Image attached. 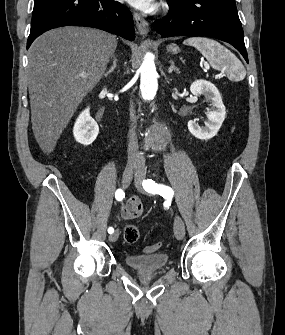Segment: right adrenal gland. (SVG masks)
Wrapping results in <instances>:
<instances>
[{
	"mask_svg": "<svg viewBox=\"0 0 285 335\" xmlns=\"http://www.w3.org/2000/svg\"><path fill=\"white\" fill-rule=\"evenodd\" d=\"M115 68H117V60H116V58H113V64H112L111 68H109L108 72H105V74H104L105 78H107V76H109V74H111V72H114Z\"/></svg>",
	"mask_w": 285,
	"mask_h": 335,
	"instance_id": "obj_1",
	"label": "right adrenal gland"
}]
</instances>
